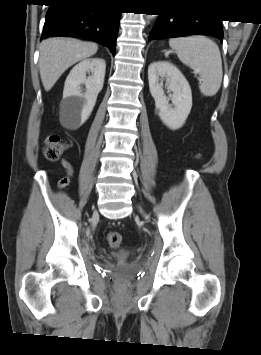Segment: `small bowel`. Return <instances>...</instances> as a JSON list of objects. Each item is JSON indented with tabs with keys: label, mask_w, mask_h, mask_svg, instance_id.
<instances>
[{
	"label": "small bowel",
	"mask_w": 261,
	"mask_h": 355,
	"mask_svg": "<svg viewBox=\"0 0 261 355\" xmlns=\"http://www.w3.org/2000/svg\"><path fill=\"white\" fill-rule=\"evenodd\" d=\"M62 165L64 166V168L67 170V174L70 173L72 174V168L70 163L67 160H62Z\"/></svg>",
	"instance_id": "obj_1"
}]
</instances>
